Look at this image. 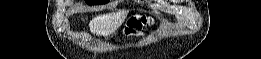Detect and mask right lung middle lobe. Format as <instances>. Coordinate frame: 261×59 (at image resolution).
Masks as SVG:
<instances>
[{"instance_id": "1", "label": "right lung middle lobe", "mask_w": 261, "mask_h": 59, "mask_svg": "<svg viewBox=\"0 0 261 59\" xmlns=\"http://www.w3.org/2000/svg\"><path fill=\"white\" fill-rule=\"evenodd\" d=\"M108 1H99V0H86V3L89 5H99V4H105Z\"/></svg>"}]
</instances>
